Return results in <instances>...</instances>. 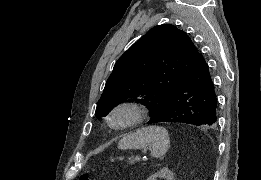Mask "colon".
Returning <instances> with one entry per match:
<instances>
[{
	"label": "colon",
	"instance_id": "colon-1",
	"mask_svg": "<svg viewBox=\"0 0 261 180\" xmlns=\"http://www.w3.org/2000/svg\"><path fill=\"white\" fill-rule=\"evenodd\" d=\"M80 180H90V176L88 174H82Z\"/></svg>",
	"mask_w": 261,
	"mask_h": 180
}]
</instances>
